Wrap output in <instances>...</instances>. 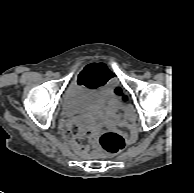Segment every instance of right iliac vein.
<instances>
[{
    "label": "right iliac vein",
    "instance_id": "obj_1",
    "mask_svg": "<svg viewBox=\"0 0 194 193\" xmlns=\"http://www.w3.org/2000/svg\"><path fill=\"white\" fill-rule=\"evenodd\" d=\"M53 77L58 79L60 77V74L56 72V73L53 74Z\"/></svg>",
    "mask_w": 194,
    "mask_h": 193
}]
</instances>
